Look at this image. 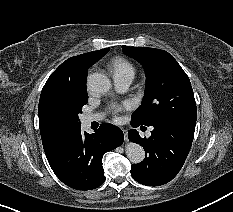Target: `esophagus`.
<instances>
[{
    "label": "esophagus",
    "instance_id": "34e87169",
    "mask_svg": "<svg viewBox=\"0 0 233 212\" xmlns=\"http://www.w3.org/2000/svg\"><path fill=\"white\" fill-rule=\"evenodd\" d=\"M122 131H123V134H124V140L128 141V133H127V131L124 130V129Z\"/></svg>",
    "mask_w": 233,
    "mask_h": 212
}]
</instances>
